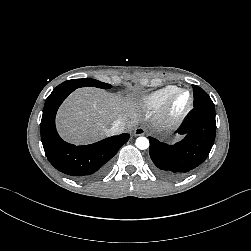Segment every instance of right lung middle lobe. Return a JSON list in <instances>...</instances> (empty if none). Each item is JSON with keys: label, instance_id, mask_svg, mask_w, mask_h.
Wrapping results in <instances>:
<instances>
[{"label": "right lung middle lobe", "instance_id": "right-lung-middle-lobe-1", "mask_svg": "<svg viewBox=\"0 0 251 251\" xmlns=\"http://www.w3.org/2000/svg\"><path fill=\"white\" fill-rule=\"evenodd\" d=\"M79 87H98V88H102V89H110L111 85L107 84V83L100 82L95 79L85 78V79L67 80V81L63 82L62 84H60L59 86H57L55 89H59V88L77 89Z\"/></svg>", "mask_w": 251, "mask_h": 251}]
</instances>
